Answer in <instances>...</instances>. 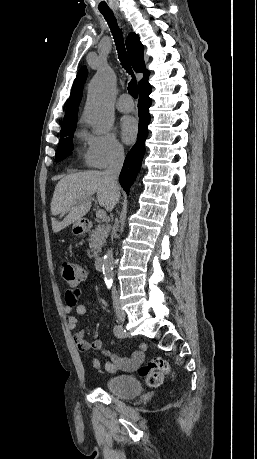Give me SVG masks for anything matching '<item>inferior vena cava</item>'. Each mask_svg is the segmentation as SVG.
<instances>
[{
  "instance_id": "inferior-vena-cava-1",
  "label": "inferior vena cava",
  "mask_w": 257,
  "mask_h": 459,
  "mask_svg": "<svg viewBox=\"0 0 257 459\" xmlns=\"http://www.w3.org/2000/svg\"><path fill=\"white\" fill-rule=\"evenodd\" d=\"M124 162V150L121 147L115 148L110 156L109 166L105 170V175L109 179L110 185L115 192L119 191L118 186V177L121 172L122 166ZM118 228V222L116 221L115 229L116 231ZM112 299L114 307H118L120 304L119 295L116 291V288L113 287L112 291Z\"/></svg>"
}]
</instances>
